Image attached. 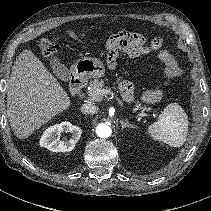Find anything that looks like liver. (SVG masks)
Wrapping results in <instances>:
<instances>
[{"instance_id":"liver-1","label":"liver","mask_w":211,"mask_h":211,"mask_svg":"<svg viewBox=\"0 0 211 211\" xmlns=\"http://www.w3.org/2000/svg\"><path fill=\"white\" fill-rule=\"evenodd\" d=\"M70 105L57 79L31 50H23L12 68L7 92V117L16 137L27 138Z\"/></svg>"}]
</instances>
